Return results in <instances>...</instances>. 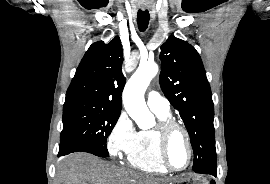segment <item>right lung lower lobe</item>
<instances>
[{
    "label": "right lung lower lobe",
    "instance_id": "98d812e1",
    "mask_svg": "<svg viewBox=\"0 0 270 184\" xmlns=\"http://www.w3.org/2000/svg\"><path fill=\"white\" fill-rule=\"evenodd\" d=\"M82 150H85V151H87L88 153H92V154L95 153L93 150H90V149H82ZM59 156H62V155H59Z\"/></svg>",
    "mask_w": 270,
    "mask_h": 184
}]
</instances>
